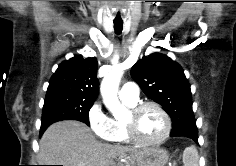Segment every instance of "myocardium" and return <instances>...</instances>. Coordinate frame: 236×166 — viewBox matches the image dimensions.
Masks as SVG:
<instances>
[{"mask_svg":"<svg viewBox=\"0 0 236 166\" xmlns=\"http://www.w3.org/2000/svg\"><path fill=\"white\" fill-rule=\"evenodd\" d=\"M153 107L159 111V113L162 115L165 123L164 132L161 137H159L157 140L154 141H144L142 140L136 131L135 128V119L137 116L146 108ZM123 124L125 126V129L127 131V134L134 144L142 147H154L162 144L169 136L171 131V119L169 117V114L166 112V110L157 102L154 101H146L139 104H136L133 106L129 111V119H125L123 121Z\"/></svg>","mask_w":236,"mask_h":166,"instance_id":"f54148a6","label":"myocardium"}]
</instances>
